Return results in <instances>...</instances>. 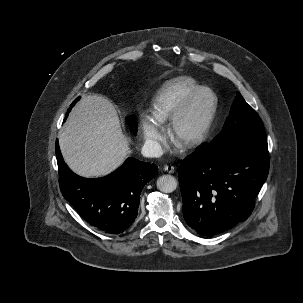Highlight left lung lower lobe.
<instances>
[{
	"label": "left lung lower lobe",
	"mask_w": 303,
	"mask_h": 303,
	"mask_svg": "<svg viewBox=\"0 0 303 303\" xmlns=\"http://www.w3.org/2000/svg\"><path fill=\"white\" fill-rule=\"evenodd\" d=\"M269 172L266 155L228 145L202 146L179 167L186 223L213 236L246 220Z\"/></svg>",
	"instance_id": "1"
}]
</instances>
